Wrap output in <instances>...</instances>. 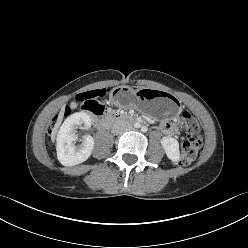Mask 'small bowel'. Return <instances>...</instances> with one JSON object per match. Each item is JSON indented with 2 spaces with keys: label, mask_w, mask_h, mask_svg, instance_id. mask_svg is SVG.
<instances>
[{
  "label": "small bowel",
  "mask_w": 248,
  "mask_h": 248,
  "mask_svg": "<svg viewBox=\"0 0 248 248\" xmlns=\"http://www.w3.org/2000/svg\"><path fill=\"white\" fill-rule=\"evenodd\" d=\"M160 129L165 134H177L178 133L177 125L173 123H169V122H163L160 125Z\"/></svg>",
  "instance_id": "c3829d8e"
}]
</instances>
